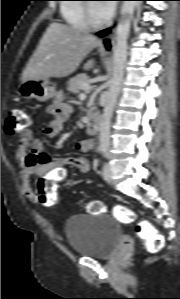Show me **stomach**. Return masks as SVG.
I'll return each mask as SVG.
<instances>
[{"label":"stomach","mask_w":180,"mask_h":299,"mask_svg":"<svg viewBox=\"0 0 180 299\" xmlns=\"http://www.w3.org/2000/svg\"><path fill=\"white\" fill-rule=\"evenodd\" d=\"M18 95L24 99L46 102L55 96V88L47 78L28 79L18 86Z\"/></svg>","instance_id":"1"}]
</instances>
